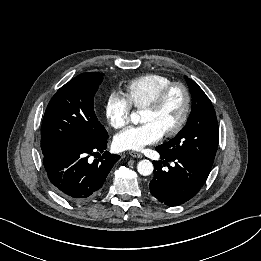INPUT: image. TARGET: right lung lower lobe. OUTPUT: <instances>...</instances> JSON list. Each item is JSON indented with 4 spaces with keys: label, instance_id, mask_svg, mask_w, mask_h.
Returning a JSON list of instances; mask_svg holds the SVG:
<instances>
[{
    "label": "right lung lower lobe",
    "instance_id": "right-lung-lower-lobe-1",
    "mask_svg": "<svg viewBox=\"0 0 261 261\" xmlns=\"http://www.w3.org/2000/svg\"><path fill=\"white\" fill-rule=\"evenodd\" d=\"M108 135L91 143L72 144L43 157L50 182L57 192L71 202H86L94 198L120 156L106 149ZM103 153L92 163L90 155Z\"/></svg>",
    "mask_w": 261,
    "mask_h": 261
}]
</instances>
